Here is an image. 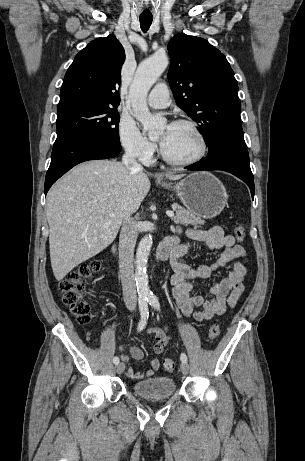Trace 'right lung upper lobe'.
Masks as SVG:
<instances>
[{"instance_id":"right-lung-upper-lobe-1","label":"right lung upper lobe","mask_w":305,"mask_h":461,"mask_svg":"<svg viewBox=\"0 0 305 461\" xmlns=\"http://www.w3.org/2000/svg\"><path fill=\"white\" fill-rule=\"evenodd\" d=\"M124 60V48L114 35L90 42L66 72L58 107L83 102L118 106Z\"/></svg>"}]
</instances>
